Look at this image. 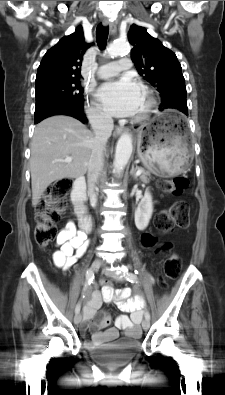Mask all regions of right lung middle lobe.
<instances>
[{
  "label": "right lung middle lobe",
  "instance_id": "1",
  "mask_svg": "<svg viewBox=\"0 0 225 395\" xmlns=\"http://www.w3.org/2000/svg\"><path fill=\"white\" fill-rule=\"evenodd\" d=\"M35 91V113H39L47 107L59 102H83V90L78 79L42 83L36 85Z\"/></svg>",
  "mask_w": 225,
  "mask_h": 395
}]
</instances>
